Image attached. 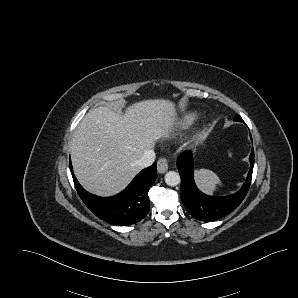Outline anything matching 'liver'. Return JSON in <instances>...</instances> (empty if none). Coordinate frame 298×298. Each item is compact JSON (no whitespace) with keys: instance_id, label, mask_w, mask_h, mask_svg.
I'll list each match as a JSON object with an SVG mask.
<instances>
[{"instance_id":"liver-1","label":"liver","mask_w":298,"mask_h":298,"mask_svg":"<svg viewBox=\"0 0 298 298\" xmlns=\"http://www.w3.org/2000/svg\"><path fill=\"white\" fill-rule=\"evenodd\" d=\"M175 104L148 99L130 105L124 115L104 106L90 110L70 145L73 170L80 184L99 196L123 190L141 167L137 161L176 124Z\"/></svg>"}]
</instances>
